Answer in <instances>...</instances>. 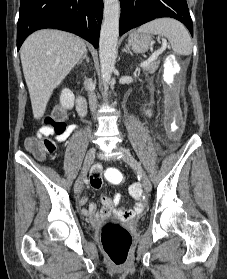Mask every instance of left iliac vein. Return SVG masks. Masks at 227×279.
<instances>
[{"instance_id": "1", "label": "left iliac vein", "mask_w": 227, "mask_h": 279, "mask_svg": "<svg viewBox=\"0 0 227 279\" xmlns=\"http://www.w3.org/2000/svg\"><path fill=\"white\" fill-rule=\"evenodd\" d=\"M116 151L120 154L122 160L126 162L129 166H131L138 174L142 176V186L145 192L151 191V182L144 173L141 164L138 160L130 153V151L124 147L117 146Z\"/></svg>"}]
</instances>
